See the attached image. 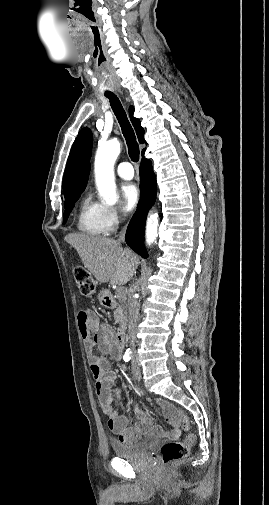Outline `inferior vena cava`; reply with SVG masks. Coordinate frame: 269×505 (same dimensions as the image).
Returning a JSON list of instances; mask_svg holds the SVG:
<instances>
[{"mask_svg": "<svg viewBox=\"0 0 269 505\" xmlns=\"http://www.w3.org/2000/svg\"><path fill=\"white\" fill-rule=\"evenodd\" d=\"M126 227L122 229L119 234L118 242L122 243L125 239ZM135 287L131 286L128 292V331H127V341L132 349L135 348V330L138 321V302L134 296Z\"/></svg>", "mask_w": 269, "mask_h": 505, "instance_id": "602c4592", "label": "inferior vena cava"}]
</instances>
